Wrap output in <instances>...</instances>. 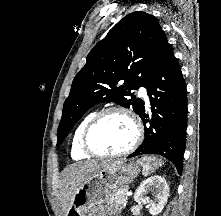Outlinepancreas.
<instances>
[{"instance_id": "1", "label": "pancreas", "mask_w": 221, "mask_h": 216, "mask_svg": "<svg viewBox=\"0 0 221 216\" xmlns=\"http://www.w3.org/2000/svg\"><path fill=\"white\" fill-rule=\"evenodd\" d=\"M129 187L128 186H124L120 189H118L113 197L109 200V203H113L121 208H124L127 204V195L126 192L128 191Z\"/></svg>"}]
</instances>
